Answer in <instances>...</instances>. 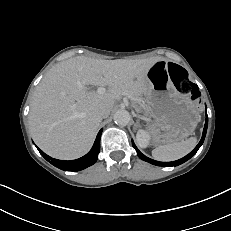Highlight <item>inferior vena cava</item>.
Here are the masks:
<instances>
[{"instance_id": "obj_1", "label": "inferior vena cava", "mask_w": 231, "mask_h": 231, "mask_svg": "<svg viewBox=\"0 0 231 231\" xmlns=\"http://www.w3.org/2000/svg\"><path fill=\"white\" fill-rule=\"evenodd\" d=\"M110 114V110L107 109L106 107H101L97 111V115L99 118H107Z\"/></svg>"}]
</instances>
